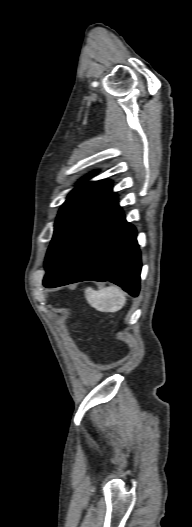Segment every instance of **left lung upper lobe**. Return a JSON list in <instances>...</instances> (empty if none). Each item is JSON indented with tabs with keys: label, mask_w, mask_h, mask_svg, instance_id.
I'll return each mask as SVG.
<instances>
[{
	"label": "left lung upper lobe",
	"mask_w": 192,
	"mask_h": 527,
	"mask_svg": "<svg viewBox=\"0 0 192 527\" xmlns=\"http://www.w3.org/2000/svg\"><path fill=\"white\" fill-rule=\"evenodd\" d=\"M111 184L108 180L96 182L82 180L80 185L68 195L57 216L53 239L46 255L47 273L78 229L112 193Z\"/></svg>",
	"instance_id": "1"
}]
</instances>
